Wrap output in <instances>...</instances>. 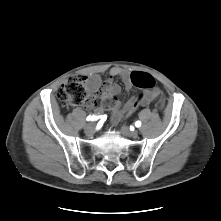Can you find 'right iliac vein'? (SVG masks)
Masks as SVG:
<instances>
[{
    "mask_svg": "<svg viewBox=\"0 0 221 221\" xmlns=\"http://www.w3.org/2000/svg\"><path fill=\"white\" fill-rule=\"evenodd\" d=\"M84 129L87 134L92 135L95 132V123H88Z\"/></svg>",
    "mask_w": 221,
    "mask_h": 221,
    "instance_id": "1",
    "label": "right iliac vein"
}]
</instances>
